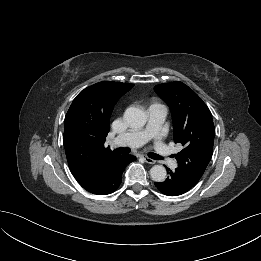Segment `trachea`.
I'll use <instances>...</instances> for the list:
<instances>
[{
	"label": "trachea",
	"mask_w": 261,
	"mask_h": 261,
	"mask_svg": "<svg viewBox=\"0 0 261 261\" xmlns=\"http://www.w3.org/2000/svg\"><path fill=\"white\" fill-rule=\"evenodd\" d=\"M119 153L121 154H128L130 153V149L129 148H118L117 149ZM148 156L152 159H156V160H160L162 159L159 155L155 154V153H149Z\"/></svg>",
	"instance_id": "trachea-1"
}]
</instances>
